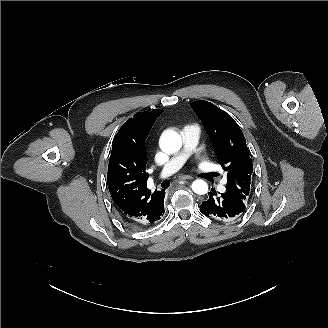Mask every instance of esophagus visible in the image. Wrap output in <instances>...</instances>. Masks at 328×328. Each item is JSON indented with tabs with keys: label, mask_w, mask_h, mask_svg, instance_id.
Wrapping results in <instances>:
<instances>
[{
	"label": "esophagus",
	"mask_w": 328,
	"mask_h": 328,
	"mask_svg": "<svg viewBox=\"0 0 328 328\" xmlns=\"http://www.w3.org/2000/svg\"><path fill=\"white\" fill-rule=\"evenodd\" d=\"M191 179H193V177L189 175H183L180 177V180H191Z\"/></svg>",
	"instance_id": "34e87169"
}]
</instances>
